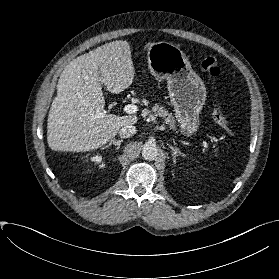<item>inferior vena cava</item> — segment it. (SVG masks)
I'll return each mask as SVG.
<instances>
[{
	"instance_id": "obj_1",
	"label": "inferior vena cava",
	"mask_w": 279,
	"mask_h": 279,
	"mask_svg": "<svg viewBox=\"0 0 279 279\" xmlns=\"http://www.w3.org/2000/svg\"><path fill=\"white\" fill-rule=\"evenodd\" d=\"M136 127L133 125H126L119 130V136L121 138H129L136 133Z\"/></svg>"
}]
</instances>
